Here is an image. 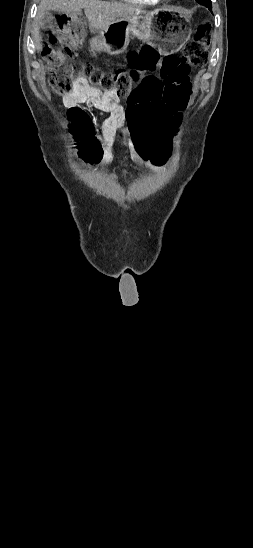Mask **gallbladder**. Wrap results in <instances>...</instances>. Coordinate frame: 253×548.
Instances as JSON below:
<instances>
[{
    "label": "gallbladder",
    "mask_w": 253,
    "mask_h": 548,
    "mask_svg": "<svg viewBox=\"0 0 253 548\" xmlns=\"http://www.w3.org/2000/svg\"><path fill=\"white\" fill-rule=\"evenodd\" d=\"M51 18H52L51 13L46 12L45 15L43 16V18L41 19V22H42L43 24H46L48 21L51 20Z\"/></svg>",
    "instance_id": "obj_1"
}]
</instances>
